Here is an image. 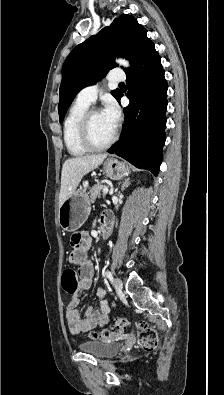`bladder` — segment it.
<instances>
[{
  "instance_id": "1",
  "label": "bladder",
  "mask_w": 224,
  "mask_h": 395,
  "mask_svg": "<svg viewBox=\"0 0 224 395\" xmlns=\"http://www.w3.org/2000/svg\"><path fill=\"white\" fill-rule=\"evenodd\" d=\"M82 352L104 359L112 357L120 351V343L113 341H86L79 344Z\"/></svg>"
}]
</instances>
